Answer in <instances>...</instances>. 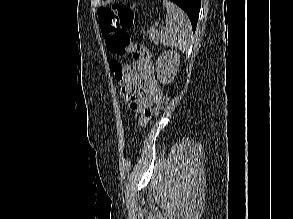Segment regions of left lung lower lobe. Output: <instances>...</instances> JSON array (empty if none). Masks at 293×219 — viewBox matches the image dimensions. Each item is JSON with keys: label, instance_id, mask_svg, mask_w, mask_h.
I'll return each mask as SVG.
<instances>
[{"label": "left lung lower lobe", "instance_id": "0a47b994", "mask_svg": "<svg viewBox=\"0 0 293 219\" xmlns=\"http://www.w3.org/2000/svg\"><path fill=\"white\" fill-rule=\"evenodd\" d=\"M181 7L189 16L192 24V30L195 32L197 26V20L201 7V0H171Z\"/></svg>", "mask_w": 293, "mask_h": 219}]
</instances>
